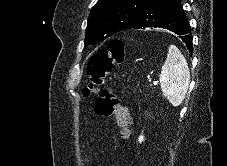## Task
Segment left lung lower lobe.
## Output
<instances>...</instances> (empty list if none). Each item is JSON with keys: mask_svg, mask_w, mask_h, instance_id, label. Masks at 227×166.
<instances>
[{"mask_svg": "<svg viewBox=\"0 0 227 166\" xmlns=\"http://www.w3.org/2000/svg\"><path fill=\"white\" fill-rule=\"evenodd\" d=\"M159 27L168 29L186 44L192 53L190 25L180 0H147L131 29Z\"/></svg>", "mask_w": 227, "mask_h": 166, "instance_id": "0a47b994", "label": "left lung lower lobe"}]
</instances>
